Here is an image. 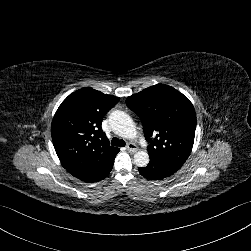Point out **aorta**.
Here are the masks:
<instances>
[{"mask_svg": "<svg viewBox=\"0 0 251 251\" xmlns=\"http://www.w3.org/2000/svg\"><path fill=\"white\" fill-rule=\"evenodd\" d=\"M109 123L112 131L125 139H139L137 128L132 119L123 111L113 112L109 117ZM134 163L139 167H145L149 163V154L146 148L135 152Z\"/></svg>", "mask_w": 251, "mask_h": 251, "instance_id": "aorta-1", "label": "aorta"}]
</instances>
